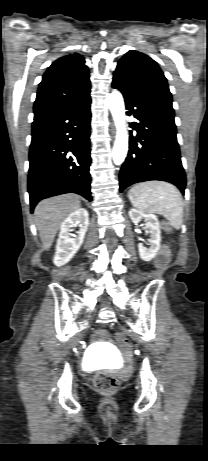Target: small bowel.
I'll return each instance as SVG.
<instances>
[{
  "label": "small bowel",
  "instance_id": "1",
  "mask_svg": "<svg viewBox=\"0 0 208 461\" xmlns=\"http://www.w3.org/2000/svg\"><path fill=\"white\" fill-rule=\"evenodd\" d=\"M167 254H168V252H167ZM103 335H104V333L101 331V332H99V333L97 334V337H102Z\"/></svg>",
  "mask_w": 208,
  "mask_h": 461
}]
</instances>
